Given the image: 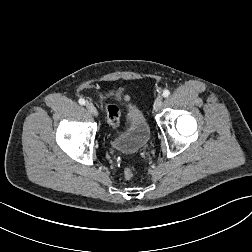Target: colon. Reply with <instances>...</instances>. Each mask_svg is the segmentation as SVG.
Wrapping results in <instances>:
<instances>
[{
    "mask_svg": "<svg viewBox=\"0 0 252 252\" xmlns=\"http://www.w3.org/2000/svg\"><path fill=\"white\" fill-rule=\"evenodd\" d=\"M107 120L109 125L114 128L117 129L120 125V113H119V109L114 106V105H109L107 106ZM136 172V168L134 166H127L124 169V176L127 179H130L134 176Z\"/></svg>",
    "mask_w": 252,
    "mask_h": 252,
    "instance_id": "1",
    "label": "colon"
}]
</instances>
